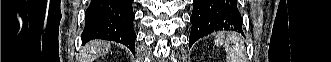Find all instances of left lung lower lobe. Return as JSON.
Wrapping results in <instances>:
<instances>
[{
    "label": "left lung lower lobe",
    "mask_w": 331,
    "mask_h": 62,
    "mask_svg": "<svg viewBox=\"0 0 331 62\" xmlns=\"http://www.w3.org/2000/svg\"><path fill=\"white\" fill-rule=\"evenodd\" d=\"M190 19V46L214 31L232 30L243 34L237 0H193Z\"/></svg>",
    "instance_id": "left-lung-lower-lobe-1"
}]
</instances>
